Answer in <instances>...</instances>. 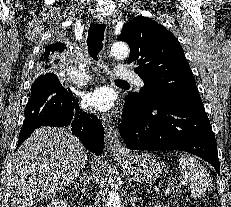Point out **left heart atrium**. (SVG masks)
<instances>
[{
  "mask_svg": "<svg viewBox=\"0 0 231 207\" xmlns=\"http://www.w3.org/2000/svg\"><path fill=\"white\" fill-rule=\"evenodd\" d=\"M82 103L85 107L99 112H108L114 106L112 93L106 88H98L82 95Z\"/></svg>",
  "mask_w": 231,
  "mask_h": 207,
  "instance_id": "obj_1",
  "label": "left heart atrium"
}]
</instances>
